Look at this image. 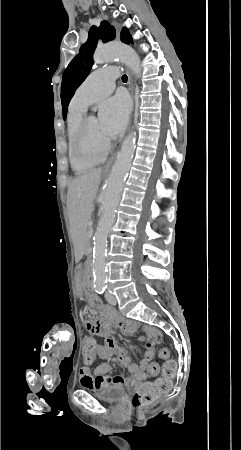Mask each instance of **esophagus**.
Listing matches in <instances>:
<instances>
[{"mask_svg":"<svg viewBox=\"0 0 241 450\" xmlns=\"http://www.w3.org/2000/svg\"><path fill=\"white\" fill-rule=\"evenodd\" d=\"M129 83H130L131 88H133V87H132V77H131L130 74H129ZM114 160H115V155H113V156L106 162V164L104 165L103 168L108 169L109 167H111V165L113 164Z\"/></svg>","mask_w":241,"mask_h":450,"instance_id":"1","label":"esophagus"}]
</instances>
